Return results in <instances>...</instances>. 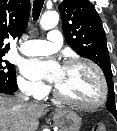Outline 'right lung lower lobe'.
I'll list each match as a JSON object with an SVG mask.
<instances>
[{"instance_id": "98d812e1", "label": "right lung lower lobe", "mask_w": 117, "mask_h": 131, "mask_svg": "<svg viewBox=\"0 0 117 131\" xmlns=\"http://www.w3.org/2000/svg\"><path fill=\"white\" fill-rule=\"evenodd\" d=\"M15 91L12 90H7L3 87H0V93H5V94H13Z\"/></svg>"}]
</instances>
